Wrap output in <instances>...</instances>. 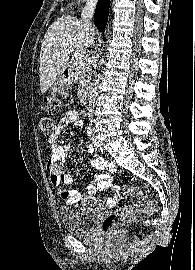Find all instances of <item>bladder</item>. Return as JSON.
<instances>
[{"mask_svg": "<svg viewBox=\"0 0 195 270\" xmlns=\"http://www.w3.org/2000/svg\"><path fill=\"white\" fill-rule=\"evenodd\" d=\"M98 208L90 205L63 207L59 216L64 230L77 236L89 235L94 227Z\"/></svg>", "mask_w": 195, "mask_h": 270, "instance_id": "bladder-1", "label": "bladder"}]
</instances>
